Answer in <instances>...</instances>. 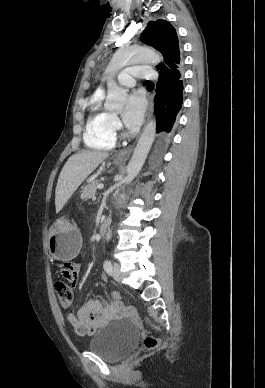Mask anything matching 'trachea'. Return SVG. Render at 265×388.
Listing matches in <instances>:
<instances>
[{
	"label": "trachea",
	"mask_w": 265,
	"mask_h": 388,
	"mask_svg": "<svg viewBox=\"0 0 265 388\" xmlns=\"http://www.w3.org/2000/svg\"><path fill=\"white\" fill-rule=\"evenodd\" d=\"M146 83H150V84H152V82H149V81H147Z\"/></svg>",
	"instance_id": "3493384b"
}]
</instances>
